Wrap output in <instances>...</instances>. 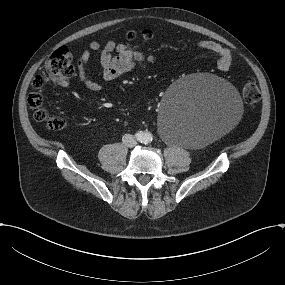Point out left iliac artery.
Instances as JSON below:
<instances>
[{"label": "left iliac artery", "mask_w": 285, "mask_h": 285, "mask_svg": "<svg viewBox=\"0 0 285 285\" xmlns=\"http://www.w3.org/2000/svg\"><path fill=\"white\" fill-rule=\"evenodd\" d=\"M150 141V138L146 136V139H145V144H147V142Z\"/></svg>", "instance_id": "left-iliac-artery-1"}]
</instances>
